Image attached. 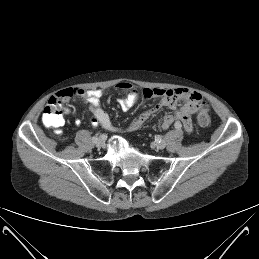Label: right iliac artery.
<instances>
[{
    "mask_svg": "<svg viewBox=\"0 0 259 259\" xmlns=\"http://www.w3.org/2000/svg\"><path fill=\"white\" fill-rule=\"evenodd\" d=\"M101 137H103V135H102ZM92 141H93V142H97V141H98V138H97L96 136H94V137H92Z\"/></svg>",
    "mask_w": 259,
    "mask_h": 259,
    "instance_id": "1",
    "label": "right iliac artery"
}]
</instances>
